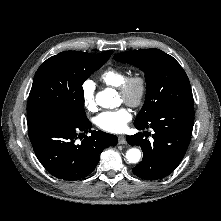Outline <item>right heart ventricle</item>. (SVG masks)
<instances>
[{"label":"right heart ventricle","instance_id":"e07e8e85","mask_svg":"<svg viewBox=\"0 0 221 221\" xmlns=\"http://www.w3.org/2000/svg\"><path fill=\"white\" fill-rule=\"evenodd\" d=\"M125 78H126V73L123 70L115 67L107 68L100 75V79L103 83L115 88H119Z\"/></svg>","mask_w":221,"mask_h":221}]
</instances>
